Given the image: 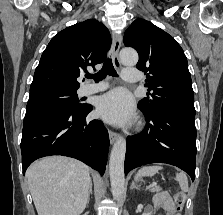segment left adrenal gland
I'll list each match as a JSON object with an SVG mask.
<instances>
[{
  "instance_id": "obj_1",
  "label": "left adrenal gland",
  "mask_w": 223,
  "mask_h": 215,
  "mask_svg": "<svg viewBox=\"0 0 223 215\" xmlns=\"http://www.w3.org/2000/svg\"><path fill=\"white\" fill-rule=\"evenodd\" d=\"M133 187H136V189H139V187H137L135 181H132V183L130 185V189H133Z\"/></svg>"
}]
</instances>
